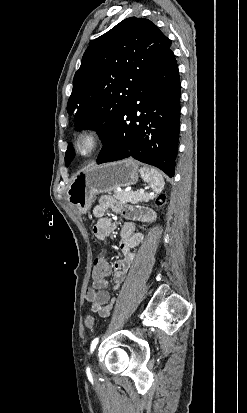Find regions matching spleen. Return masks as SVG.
<instances>
[{
	"instance_id": "3e777b00",
	"label": "spleen",
	"mask_w": 247,
	"mask_h": 413,
	"mask_svg": "<svg viewBox=\"0 0 247 413\" xmlns=\"http://www.w3.org/2000/svg\"><path fill=\"white\" fill-rule=\"evenodd\" d=\"M140 174L146 182H149L154 192H161L165 182L161 172H159L157 168H147V166H142V168H140Z\"/></svg>"
}]
</instances>
